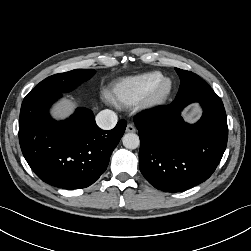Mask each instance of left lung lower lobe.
Masks as SVG:
<instances>
[{"instance_id": "left-lung-lower-lobe-1", "label": "left lung lower lobe", "mask_w": 251, "mask_h": 251, "mask_svg": "<svg viewBox=\"0 0 251 251\" xmlns=\"http://www.w3.org/2000/svg\"><path fill=\"white\" fill-rule=\"evenodd\" d=\"M199 102L201 119L184 122L181 111ZM139 131V167L155 188L179 192L207 180L226 149L227 117L219 96L207 84L178 92L168 106L134 117Z\"/></svg>"}]
</instances>
